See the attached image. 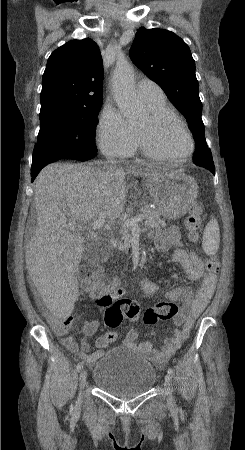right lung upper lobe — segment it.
<instances>
[{
    "label": "right lung upper lobe",
    "instance_id": "right-lung-upper-lobe-1",
    "mask_svg": "<svg viewBox=\"0 0 245 450\" xmlns=\"http://www.w3.org/2000/svg\"><path fill=\"white\" fill-rule=\"evenodd\" d=\"M103 65L97 44L72 40L49 57L42 79L41 109L51 105L93 108L102 104Z\"/></svg>",
    "mask_w": 245,
    "mask_h": 450
}]
</instances>
